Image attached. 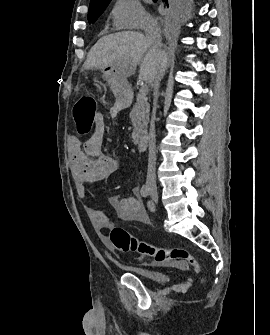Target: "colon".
Instances as JSON below:
<instances>
[{"instance_id":"colon-1","label":"colon","mask_w":270,"mask_h":335,"mask_svg":"<svg viewBox=\"0 0 270 335\" xmlns=\"http://www.w3.org/2000/svg\"><path fill=\"white\" fill-rule=\"evenodd\" d=\"M79 110H73L77 133L88 135L95 121L97 103L91 97H84L76 103ZM110 239L115 248L121 252H136L158 264H171L179 268H191L195 274L201 271L200 262L192 253L184 248H161L143 241L124 228L114 227L110 231ZM203 279H200V283Z\"/></svg>"}]
</instances>
